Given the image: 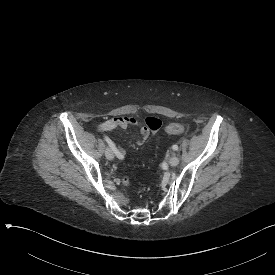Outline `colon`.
Instances as JSON below:
<instances>
[{"label":"colon","instance_id":"colon-1","mask_svg":"<svg viewBox=\"0 0 275 275\" xmlns=\"http://www.w3.org/2000/svg\"><path fill=\"white\" fill-rule=\"evenodd\" d=\"M165 132L168 134L180 135L184 133V127L181 124L171 123L165 126ZM131 183L128 177L122 179V184L125 186H129Z\"/></svg>","mask_w":275,"mask_h":275}]
</instances>
